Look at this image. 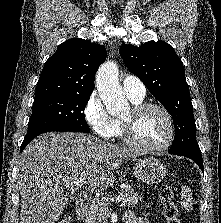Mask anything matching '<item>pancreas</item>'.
<instances>
[{
  "label": "pancreas",
  "instance_id": "pancreas-1",
  "mask_svg": "<svg viewBox=\"0 0 221 223\" xmlns=\"http://www.w3.org/2000/svg\"><path fill=\"white\" fill-rule=\"evenodd\" d=\"M121 203L124 207H131L138 204L141 201V197L138 196L131 186L126 185L121 195ZM109 209L107 207V199L95 200L92 202L89 211L86 215L85 223H108Z\"/></svg>",
  "mask_w": 221,
  "mask_h": 223
}]
</instances>
